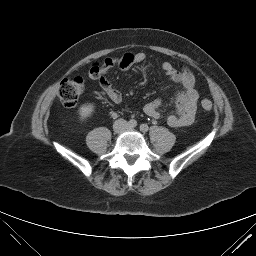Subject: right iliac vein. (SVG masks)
<instances>
[{
	"mask_svg": "<svg viewBox=\"0 0 256 256\" xmlns=\"http://www.w3.org/2000/svg\"><path fill=\"white\" fill-rule=\"evenodd\" d=\"M121 128H122L121 125L116 126V131H120Z\"/></svg>",
	"mask_w": 256,
	"mask_h": 256,
	"instance_id": "63e3f726",
	"label": "right iliac vein"
}]
</instances>
